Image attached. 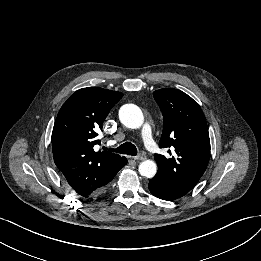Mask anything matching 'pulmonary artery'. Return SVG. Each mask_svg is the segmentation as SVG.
Masks as SVG:
<instances>
[{
	"label": "pulmonary artery",
	"instance_id": "1",
	"mask_svg": "<svg viewBox=\"0 0 261 261\" xmlns=\"http://www.w3.org/2000/svg\"><path fill=\"white\" fill-rule=\"evenodd\" d=\"M141 133L145 147L150 151H155L157 146L152 138V127L148 123H145L142 127Z\"/></svg>",
	"mask_w": 261,
	"mask_h": 261
}]
</instances>
